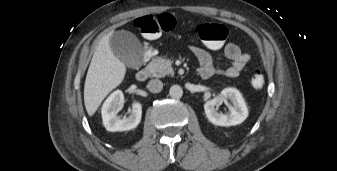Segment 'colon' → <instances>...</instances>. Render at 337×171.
<instances>
[{
  "instance_id": "obj_1",
  "label": "colon",
  "mask_w": 337,
  "mask_h": 171,
  "mask_svg": "<svg viewBox=\"0 0 337 171\" xmlns=\"http://www.w3.org/2000/svg\"><path fill=\"white\" fill-rule=\"evenodd\" d=\"M138 30L147 37H156L162 32L173 30L177 25V20L170 14L147 15L142 16L135 21ZM199 38V43L204 48L221 49L226 44L228 35L225 26L213 23H200L195 29ZM143 52L140 60L144 64H149L156 56V49L152 41L143 43ZM251 84L254 88L260 89L265 84V77L261 70H254L251 78Z\"/></svg>"
}]
</instances>
